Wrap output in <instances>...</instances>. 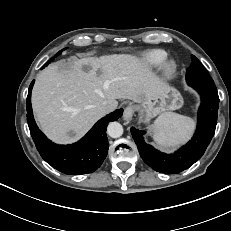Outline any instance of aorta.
<instances>
[{
  "mask_svg": "<svg viewBox=\"0 0 231 231\" xmlns=\"http://www.w3.org/2000/svg\"><path fill=\"white\" fill-rule=\"evenodd\" d=\"M107 133L112 138H118L123 134V127L118 122H111L107 127Z\"/></svg>",
  "mask_w": 231,
  "mask_h": 231,
  "instance_id": "aorta-1",
  "label": "aorta"
}]
</instances>
